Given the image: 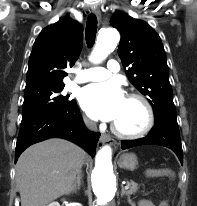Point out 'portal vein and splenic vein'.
<instances>
[{
	"mask_svg": "<svg viewBox=\"0 0 197 206\" xmlns=\"http://www.w3.org/2000/svg\"><path fill=\"white\" fill-rule=\"evenodd\" d=\"M129 188V186L128 185H125V189H128Z\"/></svg>",
	"mask_w": 197,
	"mask_h": 206,
	"instance_id": "1",
	"label": "portal vein and splenic vein"
}]
</instances>
